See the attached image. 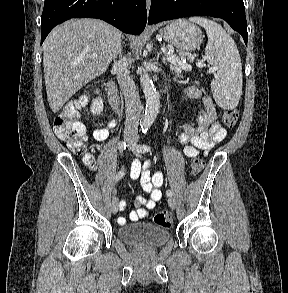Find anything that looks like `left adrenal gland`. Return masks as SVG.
Returning a JSON list of instances; mask_svg holds the SVG:
<instances>
[{"label":"left adrenal gland","instance_id":"a2214340","mask_svg":"<svg viewBox=\"0 0 288 293\" xmlns=\"http://www.w3.org/2000/svg\"><path fill=\"white\" fill-rule=\"evenodd\" d=\"M163 62L166 64V58L165 57H163Z\"/></svg>","mask_w":288,"mask_h":293}]
</instances>
